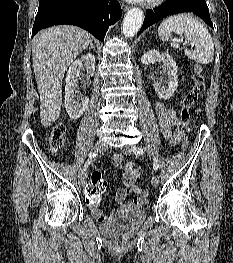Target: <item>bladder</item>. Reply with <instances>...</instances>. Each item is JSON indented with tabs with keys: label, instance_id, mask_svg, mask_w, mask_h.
I'll list each match as a JSON object with an SVG mask.
<instances>
[{
	"label": "bladder",
	"instance_id": "obj_1",
	"mask_svg": "<svg viewBox=\"0 0 233 263\" xmlns=\"http://www.w3.org/2000/svg\"><path fill=\"white\" fill-rule=\"evenodd\" d=\"M146 212L139 208H120L107 220L100 222L102 234L113 238H128L143 224Z\"/></svg>",
	"mask_w": 233,
	"mask_h": 263
}]
</instances>
